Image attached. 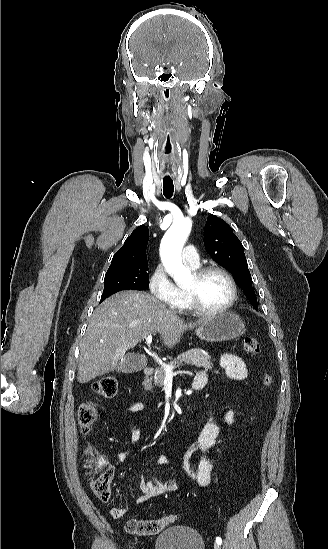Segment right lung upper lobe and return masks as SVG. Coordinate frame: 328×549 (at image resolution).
<instances>
[{"mask_svg":"<svg viewBox=\"0 0 328 549\" xmlns=\"http://www.w3.org/2000/svg\"><path fill=\"white\" fill-rule=\"evenodd\" d=\"M148 239V227L144 225L137 227L126 239L120 250L113 256L108 270L120 268L138 261H147L146 247Z\"/></svg>","mask_w":328,"mask_h":549,"instance_id":"right-lung-upper-lobe-1","label":"right lung upper lobe"}]
</instances>
